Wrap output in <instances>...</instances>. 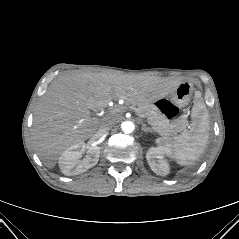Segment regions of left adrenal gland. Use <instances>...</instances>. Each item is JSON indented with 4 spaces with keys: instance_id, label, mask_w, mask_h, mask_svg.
<instances>
[{
    "instance_id": "obj_1",
    "label": "left adrenal gland",
    "mask_w": 239,
    "mask_h": 239,
    "mask_svg": "<svg viewBox=\"0 0 239 239\" xmlns=\"http://www.w3.org/2000/svg\"><path fill=\"white\" fill-rule=\"evenodd\" d=\"M142 130L146 133H148V132L152 133L153 132V130L150 127L146 126V124H144V123L142 124Z\"/></svg>"
}]
</instances>
